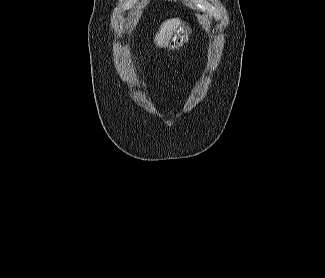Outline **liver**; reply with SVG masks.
<instances>
[{"label":"liver","mask_w":325,"mask_h":278,"mask_svg":"<svg viewBox=\"0 0 325 278\" xmlns=\"http://www.w3.org/2000/svg\"><path fill=\"white\" fill-rule=\"evenodd\" d=\"M180 24L181 20L179 18H173L163 22L154 39L156 46L160 48L168 46L174 31Z\"/></svg>","instance_id":"liver-1"}]
</instances>
